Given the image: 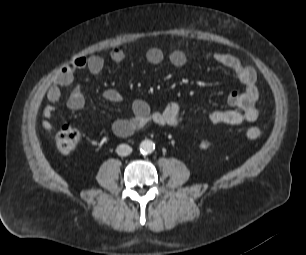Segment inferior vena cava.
Masks as SVG:
<instances>
[{"instance_id": "inferior-vena-cava-1", "label": "inferior vena cava", "mask_w": 306, "mask_h": 255, "mask_svg": "<svg viewBox=\"0 0 306 255\" xmlns=\"http://www.w3.org/2000/svg\"><path fill=\"white\" fill-rule=\"evenodd\" d=\"M116 152L119 156H127L132 152V148L127 144H120L117 147Z\"/></svg>"}]
</instances>
